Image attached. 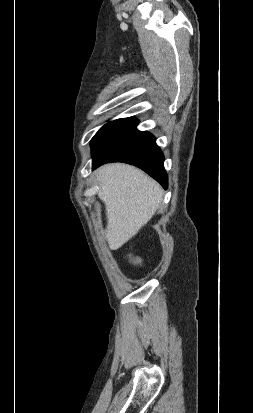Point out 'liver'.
<instances>
[{
    "instance_id": "liver-1",
    "label": "liver",
    "mask_w": 253,
    "mask_h": 413,
    "mask_svg": "<svg viewBox=\"0 0 253 413\" xmlns=\"http://www.w3.org/2000/svg\"><path fill=\"white\" fill-rule=\"evenodd\" d=\"M98 197L105 204L106 240L110 249L123 246L155 214L163 197L161 186L133 166L112 163L96 171Z\"/></svg>"
}]
</instances>
